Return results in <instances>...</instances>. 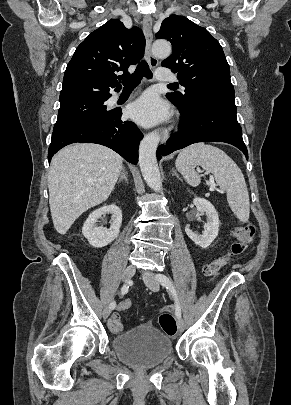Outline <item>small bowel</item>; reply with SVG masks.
I'll return each instance as SVG.
<instances>
[{
	"label": "small bowel",
	"instance_id": "obj_1",
	"mask_svg": "<svg viewBox=\"0 0 291 405\" xmlns=\"http://www.w3.org/2000/svg\"><path fill=\"white\" fill-rule=\"evenodd\" d=\"M173 308L171 306H166L162 309L164 312H170ZM108 327L110 331L114 334L120 333L123 331V325L120 321L119 315L113 316L108 323Z\"/></svg>",
	"mask_w": 291,
	"mask_h": 405
}]
</instances>
